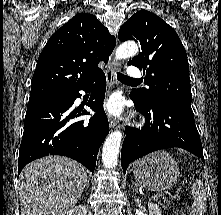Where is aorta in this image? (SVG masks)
<instances>
[{
  "label": "aorta",
  "instance_id": "obj_1",
  "mask_svg": "<svg viewBox=\"0 0 221 215\" xmlns=\"http://www.w3.org/2000/svg\"><path fill=\"white\" fill-rule=\"evenodd\" d=\"M138 53V45L135 42H126L118 46L115 51V59H124ZM122 141V133L114 131L106 138L102 149V162L105 168H115L118 162V154Z\"/></svg>",
  "mask_w": 221,
  "mask_h": 215
}]
</instances>
